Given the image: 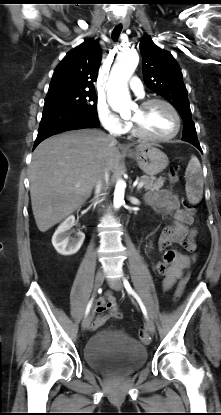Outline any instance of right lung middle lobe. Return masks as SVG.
<instances>
[{"label": "right lung middle lobe", "instance_id": "obj_1", "mask_svg": "<svg viewBox=\"0 0 221 415\" xmlns=\"http://www.w3.org/2000/svg\"><path fill=\"white\" fill-rule=\"evenodd\" d=\"M44 108H67L97 115V96L92 90H64L48 93Z\"/></svg>", "mask_w": 221, "mask_h": 415}]
</instances>
